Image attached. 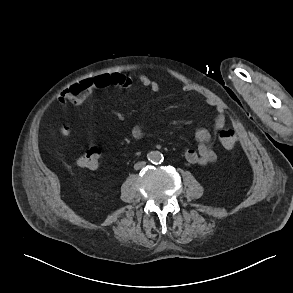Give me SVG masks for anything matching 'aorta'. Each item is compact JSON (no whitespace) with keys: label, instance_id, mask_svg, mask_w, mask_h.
Wrapping results in <instances>:
<instances>
[{"label":"aorta","instance_id":"obj_1","mask_svg":"<svg viewBox=\"0 0 293 293\" xmlns=\"http://www.w3.org/2000/svg\"><path fill=\"white\" fill-rule=\"evenodd\" d=\"M148 160L152 162L153 164H158L162 162L163 160V155L159 151H151L148 154Z\"/></svg>","mask_w":293,"mask_h":293}]
</instances>
